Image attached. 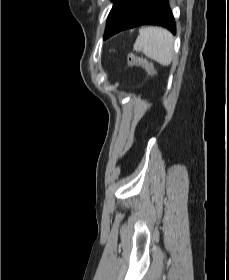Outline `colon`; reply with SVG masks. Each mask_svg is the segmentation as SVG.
Instances as JSON below:
<instances>
[{"instance_id": "5ec220e1", "label": "colon", "mask_w": 229, "mask_h": 280, "mask_svg": "<svg viewBox=\"0 0 229 280\" xmlns=\"http://www.w3.org/2000/svg\"><path fill=\"white\" fill-rule=\"evenodd\" d=\"M128 62L130 65H146L148 64V60L142 56H138L136 54H130L128 56ZM151 74L155 75V72L151 69Z\"/></svg>"}]
</instances>
